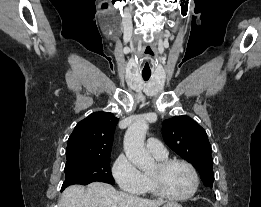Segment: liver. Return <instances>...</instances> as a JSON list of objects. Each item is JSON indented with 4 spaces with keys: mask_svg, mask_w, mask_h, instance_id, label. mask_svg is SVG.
<instances>
[{
    "mask_svg": "<svg viewBox=\"0 0 261 207\" xmlns=\"http://www.w3.org/2000/svg\"><path fill=\"white\" fill-rule=\"evenodd\" d=\"M164 203L117 191L106 183L93 182L87 190L81 185L66 188L58 207H160Z\"/></svg>",
    "mask_w": 261,
    "mask_h": 207,
    "instance_id": "obj_1",
    "label": "liver"
}]
</instances>
